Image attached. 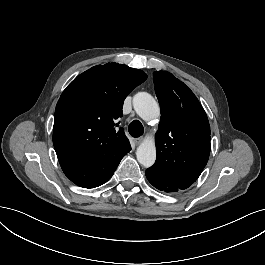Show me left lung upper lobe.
Masks as SVG:
<instances>
[{"label": "left lung upper lobe", "mask_w": 265, "mask_h": 265, "mask_svg": "<svg viewBox=\"0 0 265 265\" xmlns=\"http://www.w3.org/2000/svg\"><path fill=\"white\" fill-rule=\"evenodd\" d=\"M161 119L155 135L157 158L150 172L180 190L200 176L210 154V125L192 91L167 71L153 73Z\"/></svg>", "instance_id": "5c2ea615"}]
</instances>
